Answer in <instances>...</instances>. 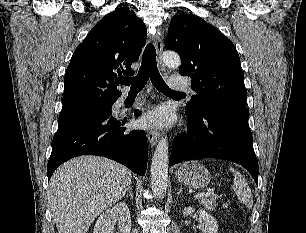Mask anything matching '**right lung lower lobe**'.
<instances>
[{
  "label": "right lung lower lobe",
  "instance_id": "right-lung-lower-lobe-1",
  "mask_svg": "<svg viewBox=\"0 0 306 233\" xmlns=\"http://www.w3.org/2000/svg\"><path fill=\"white\" fill-rule=\"evenodd\" d=\"M140 111L135 110V116ZM121 120L112 111L96 112L59 123L52 140L47 176L70 158L80 155H99L113 159L133 172L144 175L147 168V139L144 131H126Z\"/></svg>",
  "mask_w": 306,
  "mask_h": 233
}]
</instances>
